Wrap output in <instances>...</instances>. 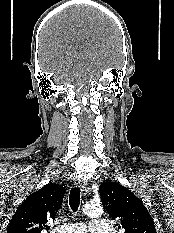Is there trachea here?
<instances>
[{
  "label": "trachea",
  "mask_w": 174,
  "mask_h": 233,
  "mask_svg": "<svg viewBox=\"0 0 174 233\" xmlns=\"http://www.w3.org/2000/svg\"><path fill=\"white\" fill-rule=\"evenodd\" d=\"M80 188L79 187H74L70 191L69 195V205L72 209L73 212H76L79 208L80 205Z\"/></svg>",
  "instance_id": "obj_1"
}]
</instances>
